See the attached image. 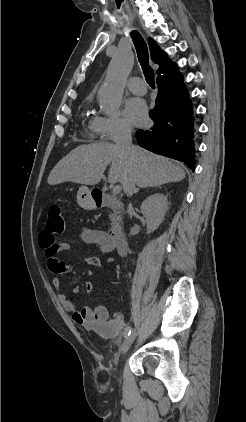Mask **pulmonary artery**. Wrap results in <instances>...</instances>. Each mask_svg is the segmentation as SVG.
Listing matches in <instances>:
<instances>
[{"label":"pulmonary artery","mask_w":246,"mask_h":422,"mask_svg":"<svg viewBox=\"0 0 246 422\" xmlns=\"http://www.w3.org/2000/svg\"><path fill=\"white\" fill-rule=\"evenodd\" d=\"M127 87L131 92L137 95H144L147 92L145 82L139 77H131L127 81Z\"/></svg>","instance_id":"pulmonary-artery-1"}]
</instances>
